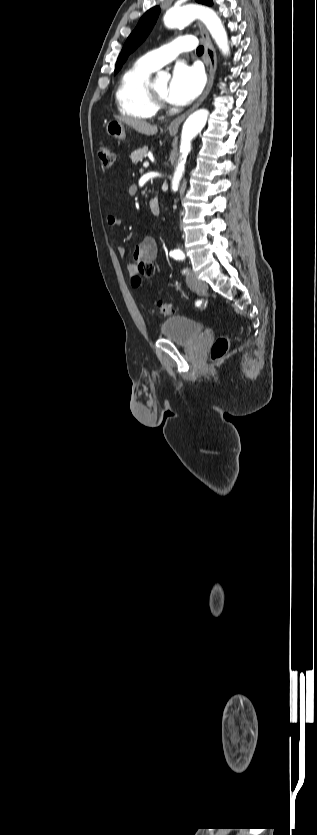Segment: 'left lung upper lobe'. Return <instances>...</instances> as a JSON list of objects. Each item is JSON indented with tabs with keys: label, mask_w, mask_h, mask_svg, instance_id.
I'll list each match as a JSON object with an SVG mask.
<instances>
[{
	"label": "left lung upper lobe",
	"mask_w": 317,
	"mask_h": 835,
	"mask_svg": "<svg viewBox=\"0 0 317 835\" xmlns=\"http://www.w3.org/2000/svg\"><path fill=\"white\" fill-rule=\"evenodd\" d=\"M198 3L211 6L212 0H196ZM160 12L159 7H153L148 10L139 20L136 28L127 38L124 47L118 57L115 74L121 69L127 57L146 39L152 30Z\"/></svg>",
	"instance_id": "5c2ea615"
}]
</instances>
